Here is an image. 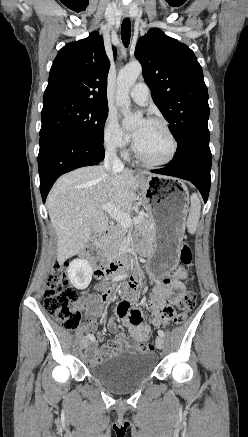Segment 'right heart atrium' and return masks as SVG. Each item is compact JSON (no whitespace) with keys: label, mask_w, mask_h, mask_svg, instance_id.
I'll use <instances>...</instances> for the list:
<instances>
[{"label":"right heart atrium","mask_w":248,"mask_h":437,"mask_svg":"<svg viewBox=\"0 0 248 437\" xmlns=\"http://www.w3.org/2000/svg\"><path fill=\"white\" fill-rule=\"evenodd\" d=\"M103 142L104 145L115 151H124L128 145V138L122 131L117 116L109 112L103 124Z\"/></svg>","instance_id":"right-heart-atrium-1"}]
</instances>
